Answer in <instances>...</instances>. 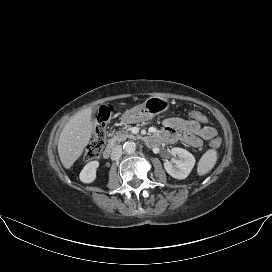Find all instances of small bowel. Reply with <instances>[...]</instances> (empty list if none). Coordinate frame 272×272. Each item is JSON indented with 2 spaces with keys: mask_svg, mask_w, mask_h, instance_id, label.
<instances>
[{
  "mask_svg": "<svg viewBox=\"0 0 272 272\" xmlns=\"http://www.w3.org/2000/svg\"><path fill=\"white\" fill-rule=\"evenodd\" d=\"M154 136L158 141L170 143L182 141L187 146L198 149L204 140L210 141L216 137V130L212 126H203L195 120L170 117L163 121L161 132Z\"/></svg>",
  "mask_w": 272,
  "mask_h": 272,
  "instance_id": "obj_1",
  "label": "small bowel"
}]
</instances>
